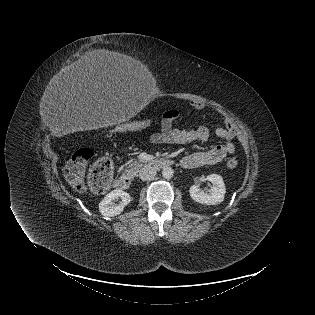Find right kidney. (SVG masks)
<instances>
[{
  "instance_id": "ca27d5eb",
  "label": "right kidney",
  "mask_w": 315,
  "mask_h": 315,
  "mask_svg": "<svg viewBox=\"0 0 315 315\" xmlns=\"http://www.w3.org/2000/svg\"><path fill=\"white\" fill-rule=\"evenodd\" d=\"M121 199L119 204H115L114 201ZM131 201V196L120 189L113 190L108 193L103 200L99 203V212L104 217H114L119 215L124 207Z\"/></svg>"
}]
</instances>
